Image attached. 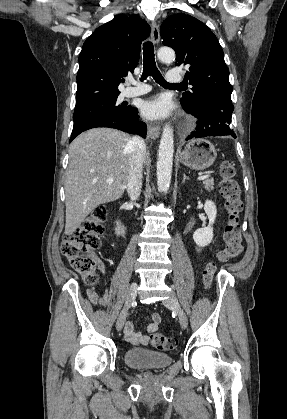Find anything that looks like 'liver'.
Returning a JSON list of instances; mask_svg holds the SVG:
<instances>
[{
  "label": "liver",
  "instance_id": "liver-1",
  "mask_svg": "<svg viewBox=\"0 0 287 419\" xmlns=\"http://www.w3.org/2000/svg\"><path fill=\"white\" fill-rule=\"evenodd\" d=\"M131 136L111 128L80 134L69 146L65 178V234L71 235L100 204L119 199L129 176ZM113 178V182H107Z\"/></svg>",
  "mask_w": 287,
  "mask_h": 419
}]
</instances>
